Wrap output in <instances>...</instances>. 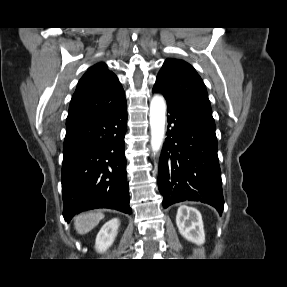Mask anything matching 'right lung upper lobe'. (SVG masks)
Listing matches in <instances>:
<instances>
[{"mask_svg":"<svg viewBox=\"0 0 287 287\" xmlns=\"http://www.w3.org/2000/svg\"><path fill=\"white\" fill-rule=\"evenodd\" d=\"M117 76L98 63L82 76L71 99L66 124L114 111L125 101Z\"/></svg>","mask_w":287,"mask_h":287,"instance_id":"obj_1","label":"right lung upper lobe"}]
</instances>
